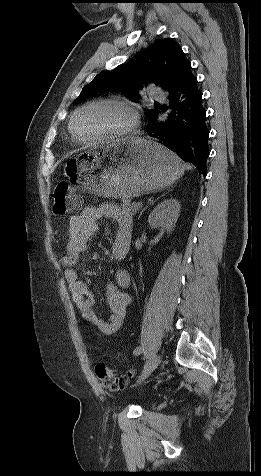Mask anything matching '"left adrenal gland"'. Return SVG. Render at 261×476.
<instances>
[{
    "mask_svg": "<svg viewBox=\"0 0 261 476\" xmlns=\"http://www.w3.org/2000/svg\"><path fill=\"white\" fill-rule=\"evenodd\" d=\"M148 206H146L145 208H143V210L140 212V215H139V218L140 216L142 215V213L147 209Z\"/></svg>",
    "mask_w": 261,
    "mask_h": 476,
    "instance_id": "a2214340",
    "label": "left adrenal gland"
}]
</instances>
